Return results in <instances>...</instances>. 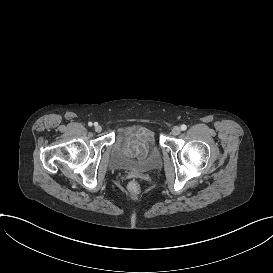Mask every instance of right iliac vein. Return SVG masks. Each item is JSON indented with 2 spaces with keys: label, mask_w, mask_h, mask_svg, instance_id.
<instances>
[{
  "label": "right iliac vein",
  "mask_w": 273,
  "mask_h": 273,
  "mask_svg": "<svg viewBox=\"0 0 273 273\" xmlns=\"http://www.w3.org/2000/svg\"><path fill=\"white\" fill-rule=\"evenodd\" d=\"M95 131L97 132V133H99V132H101L102 131V127L99 125V124H95Z\"/></svg>",
  "instance_id": "obj_1"
}]
</instances>
